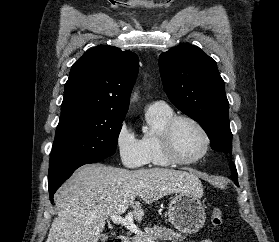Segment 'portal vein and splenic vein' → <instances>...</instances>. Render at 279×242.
I'll list each match as a JSON object with an SVG mask.
<instances>
[{"mask_svg": "<svg viewBox=\"0 0 279 242\" xmlns=\"http://www.w3.org/2000/svg\"><path fill=\"white\" fill-rule=\"evenodd\" d=\"M110 219L115 224H121L126 227L130 232L136 234L137 236L143 237V232L134 224L132 213H128L125 217L117 214H111ZM145 242H153L151 239H145Z\"/></svg>", "mask_w": 279, "mask_h": 242, "instance_id": "portal-vein-and-splenic-vein-1", "label": "portal vein and splenic vein"}]
</instances>
